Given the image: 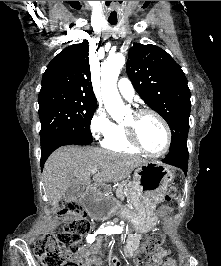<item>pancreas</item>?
<instances>
[{"label":"pancreas","instance_id":"obj_1","mask_svg":"<svg viewBox=\"0 0 221 266\" xmlns=\"http://www.w3.org/2000/svg\"><path fill=\"white\" fill-rule=\"evenodd\" d=\"M130 186L131 182L127 183V181H122L116 190L117 198L123 200L125 196H129Z\"/></svg>","mask_w":221,"mask_h":266}]
</instances>
